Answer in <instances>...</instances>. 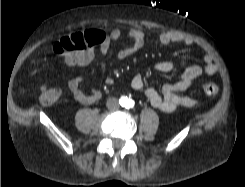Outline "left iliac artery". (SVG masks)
Returning <instances> with one entry per match:
<instances>
[{
  "instance_id": "1",
  "label": "left iliac artery",
  "mask_w": 245,
  "mask_h": 187,
  "mask_svg": "<svg viewBox=\"0 0 245 187\" xmlns=\"http://www.w3.org/2000/svg\"><path fill=\"white\" fill-rule=\"evenodd\" d=\"M134 104H135L134 101L132 99H129L127 101L126 107L127 108H132L134 106Z\"/></svg>"
}]
</instances>
